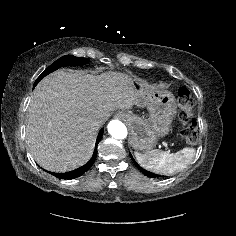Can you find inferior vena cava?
<instances>
[{"label": "inferior vena cava", "instance_id": "1", "mask_svg": "<svg viewBox=\"0 0 236 236\" xmlns=\"http://www.w3.org/2000/svg\"><path fill=\"white\" fill-rule=\"evenodd\" d=\"M101 125V122L98 121V120H95L92 122V126L95 127V128H99V126Z\"/></svg>", "mask_w": 236, "mask_h": 236}]
</instances>
